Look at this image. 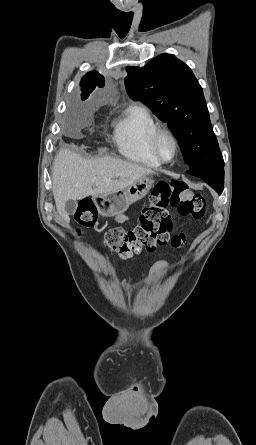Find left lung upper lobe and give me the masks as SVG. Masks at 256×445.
Returning <instances> with one entry per match:
<instances>
[{
    "instance_id": "5c2ea615",
    "label": "left lung upper lobe",
    "mask_w": 256,
    "mask_h": 445,
    "mask_svg": "<svg viewBox=\"0 0 256 445\" xmlns=\"http://www.w3.org/2000/svg\"><path fill=\"white\" fill-rule=\"evenodd\" d=\"M126 70L127 93L168 124L190 170L224 167L202 87L186 64L162 54L142 68Z\"/></svg>"
}]
</instances>
